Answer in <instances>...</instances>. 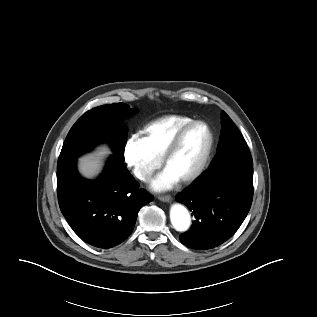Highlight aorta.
Segmentation results:
<instances>
[{"label": "aorta", "mask_w": 317, "mask_h": 317, "mask_svg": "<svg viewBox=\"0 0 317 317\" xmlns=\"http://www.w3.org/2000/svg\"><path fill=\"white\" fill-rule=\"evenodd\" d=\"M170 220L175 230L187 231L191 226V216L188 210L181 204H175L170 210Z\"/></svg>", "instance_id": "1"}]
</instances>
